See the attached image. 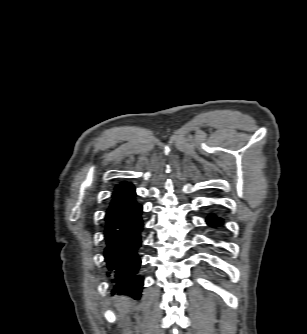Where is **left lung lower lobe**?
I'll list each match as a JSON object with an SVG mask.
<instances>
[{
  "mask_svg": "<svg viewBox=\"0 0 307 334\" xmlns=\"http://www.w3.org/2000/svg\"><path fill=\"white\" fill-rule=\"evenodd\" d=\"M206 222L209 226L212 227H219L220 225L223 224V219L216 217L213 214H210L207 218H206Z\"/></svg>",
  "mask_w": 307,
  "mask_h": 334,
  "instance_id": "left-lung-lower-lobe-1",
  "label": "left lung lower lobe"
}]
</instances>
